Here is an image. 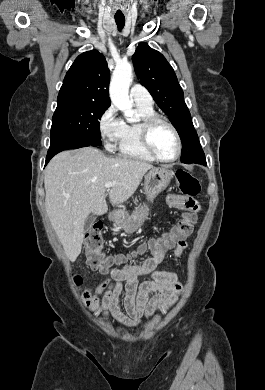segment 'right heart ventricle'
Instances as JSON below:
<instances>
[{
	"mask_svg": "<svg viewBox=\"0 0 265 390\" xmlns=\"http://www.w3.org/2000/svg\"><path fill=\"white\" fill-rule=\"evenodd\" d=\"M136 109L140 119L145 116L154 114L152 105L143 106L136 104ZM117 148L119 154L123 157L145 162L155 161V159L150 156L142 146L138 130V123L123 122L122 131L117 141Z\"/></svg>",
	"mask_w": 265,
	"mask_h": 390,
	"instance_id": "1",
	"label": "right heart ventricle"
}]
</instances>
